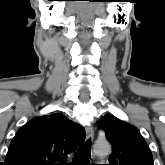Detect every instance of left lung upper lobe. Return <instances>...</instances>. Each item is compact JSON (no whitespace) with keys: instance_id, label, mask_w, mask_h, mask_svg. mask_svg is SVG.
I'll return each instance as SVG.
<instances>
[{"instance_id":"obj_1","label":"left lung upper lobe","mask_w":165,"mask_h":165,"mask_svg":"<svg viewBox=\"0 0 165 165\" xmlns=\"http://www.w3.org/2000/svg\"><path fill=\"white\" fill-rule=\"evenodd\" d=\"M98 126L112 145L109 165H154L150 148L137 128L113 115L102 117Z\"/></svg>"}]
</instances>
